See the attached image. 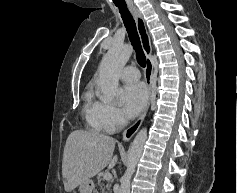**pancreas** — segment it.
<instances>
[{
    "label": "pancreas",
    "instance_id": "1",
    "mask_svg": "<svg viewBox=\"0 0 237 193\" xmlns=\"http://www.w3.org/2000/svg\"><path fill=\"white\" fill-rule=\"evenodd\" d=\"M101 180H103V179L99 180L98 185L100 186L102 193H111L110 192L111 184L107 183L105 185L103 182H101ZM95 193H98V192L96 191Z\"/></svg>",
    "mask_w": 237,
    "mask_h": 193
}]
</instances>
